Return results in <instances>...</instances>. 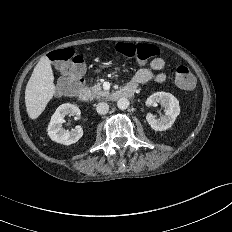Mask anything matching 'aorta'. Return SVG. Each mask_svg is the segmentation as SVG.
Instances as JSON below:
<instances>
[{"mask_svg": "<svg viewBox=\"0 0 232 232\" xmlns=\"http://www.w3.org/2000/svg\"><path fill=\"white\" fill-rule=\"evenodd\" d=\"M130 105V102L127 98H120L118 101H117V107L120 109V110H125L129 107Z\"/></svg>", "mask_w": 232, "mask_h": 232, "instance_id": "1", "label": "aorta"}]
</instances>
